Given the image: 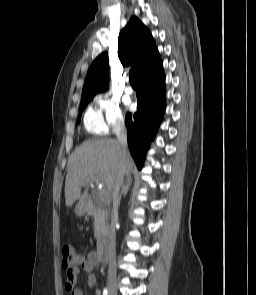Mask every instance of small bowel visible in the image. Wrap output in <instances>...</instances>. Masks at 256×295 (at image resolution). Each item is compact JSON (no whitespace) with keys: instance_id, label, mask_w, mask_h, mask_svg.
<instances>
[{"instance_id":"1","label":"small bowel","mask_w":256,"mask_h":295,"mask_svg":"<svg viewBox=\"0 0 256 295\" xmlns=\"http://www.w3.org/2000/svg\"><path fill=\"white\" fill-rule=\"evenodd\" d=\"M99 260L96 251L92 250L88 253L86 258H83L80 265L73 271L65 273V289L70 295H84L82 289L77 285L78 276L86 272L88 273V284L91 288L97 286V276L95 271L99 267Z\"/></svg>"}]
</instances>
